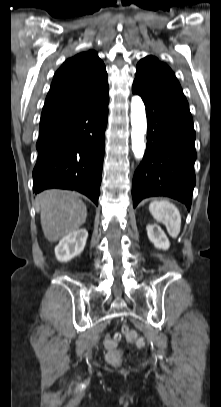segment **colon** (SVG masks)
Masks as SVG:
<instances>
[{"label": "colon", "instance_id": "colon-1", "mask_svg": "<svg viewBox=\"0 0 221 407\" xmlns=\"http://www.w3.org/2000/svg\"><path fill=\"white\" fill-rule=\"evenodd\" d=\"M122 333L127 338L128 342L137 346H144L143 339L133 330L128 327L122 328ZM120 334H115L112 337H106L104 339V346L108 350L107 360L110 364L117 365L120 363L122 358V352L116 350L118 341L120 340Z\"/></svg>", "mask_w": 221, "mask_h": 407}]
</instances>
